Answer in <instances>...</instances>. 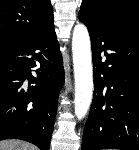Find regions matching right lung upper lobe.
<instances>
[{
  "instance_id": "obj_1",
  "label": "right lung upper lobe",
  "mask_w": 139,
  "mask_h": 150,
  "mask_svg": "<svg viewBox=\"0 0 139 150\" xmlns=\"http://www.w3.org/2000/svg\"><path fill=\"white\" fill-rule=\"evenodd\" d=\"M53 18L50 0H0V45L33 39Z\"/></svg>"
}]
</instances>
